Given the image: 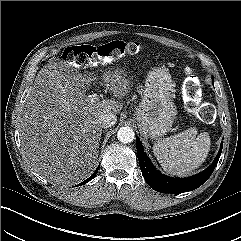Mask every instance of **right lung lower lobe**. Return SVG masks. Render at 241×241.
Wrapping results in <instances>:
<instances>
[{
  "label": "right lung lower lobe",
  "instance_id": "98d812e1",
  "mask_svg": "<svg viewBox=\"0 0 241 241\" xmlns=\"http://www.w3.org/2000/svg\"><path fill=\"white\" fill-rule=\"evenodd\" d=\"M99 167H100V166L97 167V169L95 170V172H94L88 179H86L85 181L81 182V183L78 184L77 186H81V185H83V184H86V183L89 182L90 180H92V179L95 177V175L97 174Z\"/></svg>",
  "mask_w": 241,
  "mask_h": 241
}]
</instances>
